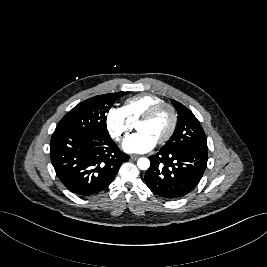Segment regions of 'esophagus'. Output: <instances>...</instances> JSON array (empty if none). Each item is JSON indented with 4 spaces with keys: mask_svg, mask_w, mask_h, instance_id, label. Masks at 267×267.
Returning <instances> with one entry per match:
<instances>
[{
    "mask_svg": "<svg viewBox=\"0 0 267 267\" xmlns=\"http://www.w3.org/2000/svg\"><path fill=\"white\" fill-rule=\"evenodd\" d=\"M138 158H139L138 155H131V156H130V159H131V160H137Z\"/></svg>",
    "mask_w": 267,
    "mask_h": 267,
    "instance_id": "esophagus-1",
    "label": "esophagus"
}]
</instances>
